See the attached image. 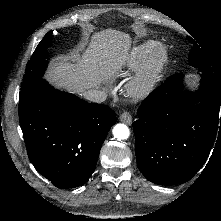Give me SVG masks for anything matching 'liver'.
<instances>
[{
    "label": "liver",
    "instance_id": "obj_1",
    "mask_svg": "<svg viewBox=\"0 0 221 221\" xmlns=\"http://www.w3.org/2000/svg\"><path fill=\"white\" fill-rule=\"evenodd\" d=\"M128 34L106 29L95 33L83 55L57 58L46 78L55 86L76 94L98 88L121 70L129 56Z\"/></svg>",
    "mask_w": 221,
    "mask_h": 221
}]
</instances>
